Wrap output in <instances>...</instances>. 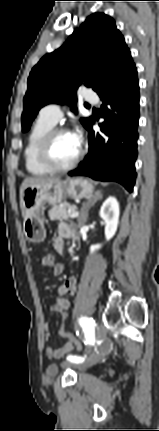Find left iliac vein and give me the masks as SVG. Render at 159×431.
<instances>
[{
	"mask_svg": "<svg viewBox=\"0 0 159 431\" xmlns=\"http://www.w3.org/2000/svg\"><path fill=\"white\" fill-rule=\"evenodd\" d=\"M105 337V331L103 329H98L97 331V338H104ZM103 358V353L96 352L91 354L89 357L86 358L82 363H79L77 367L79 369H85L88 367H91L95 364H97L101 359ZM70 363H64L65 366L69 365Z\"/></svg>",
	"mask_w": 159,
	"mask_h": 431,
	"instance_id": "1",
	"label": "left iliac vein"
}]
</instances>
